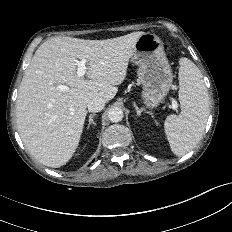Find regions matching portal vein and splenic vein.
<instances>
[{"label":"portal vein and splenic vein","instance_id":"obj_1","mask_svg":"<svg viewBox=\"0 0 232 232\" xmlns=\"http://www.w3.org/2000/svg\"><path fill=\"white\" fill-rule=\"evenodd\" d=\"M86 59H82L81 61H77V75L78 77H83L85 73L87 72L88 68L86 67ZM58 89L61 91L68 90L67 86L60 85L58 86ZM172 107L173 109H177V103L175 100L172 101Z\"/></svg>","mask_w":232,"mask_h":232}]
</instances>
